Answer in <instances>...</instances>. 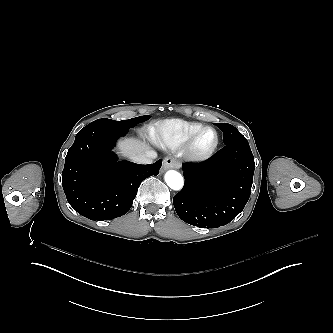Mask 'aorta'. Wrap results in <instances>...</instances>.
<instances>
[{
    "label": "aorta",
    "instance_id": "762f6f07",
    "mask_svg": "<svg viewBox=\"0 0 333 333\" xmlns=\"http://www.w3.org/2000/svg\"><path fill=\"white\" fill-rule=\"evenodd\" d=\"M165 181L173 191H180L184 187V178L177 171H168L165 175Z\"/></svg>",
    "mask_w": 333,
    "mask_h": 333
}]
</instances>
